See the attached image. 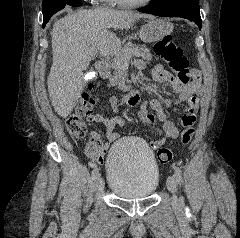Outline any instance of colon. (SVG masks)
I'll list each match as a JSON object with an SVG mask.
<instances>
[{
	"label": "colon",
	"instance_id": "colon-1",
	"mask_svg": "<svg viewBox=\"0 0 240 238\" xmlns=\"http://www.w3.org/2000/svg\"><path fill=\"white\" fill-rule=\"evenodd\" d=\"M154 48L156 54L168 63L180 82L188 83L192 79L193 70H189L188 60L183 50L175 44L171 37H164L156 42ZM92 105L93 102L88 93H85L77 102L74 113L66 121L67 130L72 137L82 139L87 135V126L84 118L90 114ZM193 135V126H186L181 132L182 144L187 145L192 140ZM102 146L103 144L98 138L92 137L86 146V154L90 158L97 160ZM157 158L160 163L166 164L172 160L173 151L170 148H159Z\"/></svg>",
	"mask_w": 240,
	"mask_h": 238
}]
</instances>
